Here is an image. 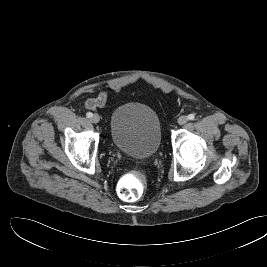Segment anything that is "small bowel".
Masks as SVG:
<instances>
[{
	"label": "small bowel",
	"instance_id": "c3829d8e",
	"mask_svg": "<svg viewBox=\"0 0 267 267\" xmlns=\"http://www.w3.org/2000/svg\"><path fill=\"white\" fill-rule=\"evenodd\" d=\"M108 103V94L105 90H101L94 98H89L85 101L84 106L88 110L103 108Z\"/></svg>",
	"mask_w": 267,
	"mask_h": 267
}]
</instances>
